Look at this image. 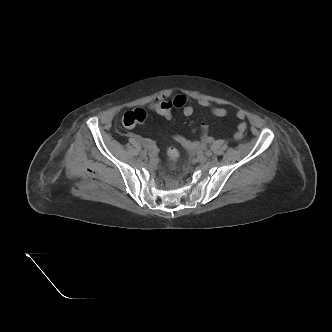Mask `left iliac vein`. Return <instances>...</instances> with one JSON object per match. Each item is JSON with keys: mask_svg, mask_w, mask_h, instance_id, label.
<instances>
[{"mask_svg": "<svg viewBox=\"0 0 332 332\" xmlns=\"http://www.w3.org/2000/svg\"><path fill=\"white\" fill-rule=\"evenodd\" d=\"M197 161L200 162V163H205L207 161V157L203 154H199L197 156Z\"/></svg>", "mask_w": 332, "mask_h": 332, "instance_id": "left-iliac-vein-1", "label": "left iliac vein"}]
</instances>
